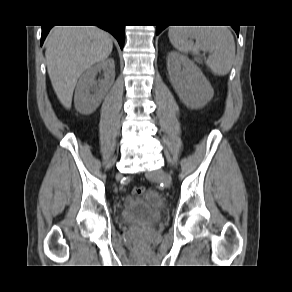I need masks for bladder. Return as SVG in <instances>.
Segmentation results:
<instances>
[{"label": "bladder", "instance_id": "31cf9c89", "mask_svg": "<svg viewBox=\"0 0 292 292\" xmlns=\"http://www.w3.org/2000/svg\"><path fill=\"white\" fill-rule=\"evenodd\" d=\"M163 203L156 192H149L140 198L125 202L121 216L128 224L151 225L160 221Z\"/></svg>", "mask_w": 292, "mask_h": 292}]
</instances>
